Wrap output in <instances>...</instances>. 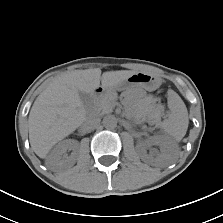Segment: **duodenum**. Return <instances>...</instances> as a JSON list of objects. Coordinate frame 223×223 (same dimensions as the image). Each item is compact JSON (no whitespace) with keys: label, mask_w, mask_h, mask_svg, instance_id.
Listing matches in <instances>:
<instances>
[{"label":"duodenum","mask_w":223,"mask_h":223,"mask_svg":"<svg viewBox=\"0 0 223 223\" xmlns=\"http://www.w3.org/2000/svg\"><path fill=\"white\" fill-rule=\"evenodd\" d=\"M104 92V88L102 86H97L94 89V95L98 96Z\"/></svg>","instance_id":"1"}]
</instances>
